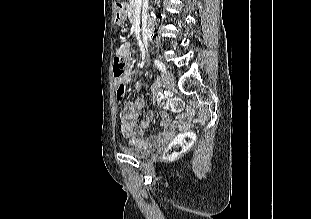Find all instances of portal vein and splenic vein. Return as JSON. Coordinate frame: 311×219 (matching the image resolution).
Listing matches in <instances>:
<instances>
[{
	"instance_id": "1",
	"label": "portal vein and splenic vein",
	"mask_w": 311,
	"mask_h": 219,
	"mask_svg": "<svg viewBox=\"0 0 311 219\" xmlns=\"http://www.w3.org/2000/svg\"><path fill=\"white\" fill-rule=\"evenodd\" d=\"M135 1V6L140 8L142 4V0H134Z\"/></svg>"
}]
</instances>
